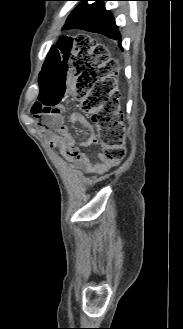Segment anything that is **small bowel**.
I'll use <instances>...</instances> for the list:
<instances>
[{
	"label": "small bowel",
	"instance_id": "c3829d8e",
	"mask_svg": "<svg viewBox=\"0 0 183 329\" xmlns=\"http://www.w3.org/2000/svg\"><path fill=\"white\" fill-rule=\"evenodd\" d=\"M75 121L81 126L82 129L89 133L88 139L81 141L80 146L87 148L93 144H96L97 140L91 133L90 124L82 116H77ZM40 122L42 126H53V121L51 118H41ZM52 133L57 134V136L50 140V144L54 148L58 149L68 161L82 169L84 172L88 174H98L108 168L109 164L105 162L102 155H99V159L96 162H92L86 154L76 147L72 134L66 126L57 127L56 131Z\"/></svg>",
	"mask_w": 183,
	"mask_h": 329
}]
</instances>
